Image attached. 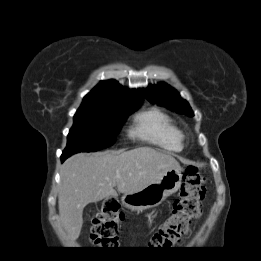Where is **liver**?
Masks as SVG:
<instances>
[{
    "label": "liver",
    "instance_id": "1",
    "mask_svg": "<svg viewBox=\"0 0 261 261\" xmlns=\"http://www.w3.org/2000/svg\"><path fill=\"white\" fill-rule=\"evenodd\" d=\"M180 168L169 154L150 147L129 151L79 153L67 159L61 169L58 195L60 222L70 241H75L83 224V209L109 196L135 193Z\"/></svg>",
    "mask_w": 261,
    "mask_h": 261
}]
</instances>
